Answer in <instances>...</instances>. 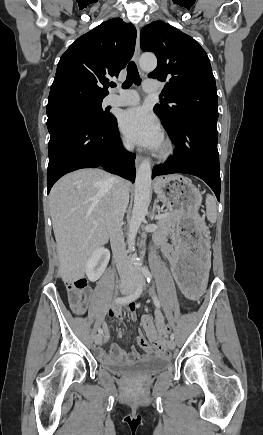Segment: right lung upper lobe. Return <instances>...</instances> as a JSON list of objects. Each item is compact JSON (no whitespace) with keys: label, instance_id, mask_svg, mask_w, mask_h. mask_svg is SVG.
<instances>
[{"label":"right lung upper lobe","instance_id":"right-lung-upper-lobe-1","mask_svg":"<svg viewBox=\"0 0 263 435\" xmlns=\"http://www.w3.org/2000/svg\"><path fill=\"white\" fill-rule=\"evenodd\" d=\"M136 29L113 18L79 37L62 55L48 105L103 99L109 79L118 77L134 53Z\"/></svg>","mask_w":263,"mask_h":435}]
</instances>
